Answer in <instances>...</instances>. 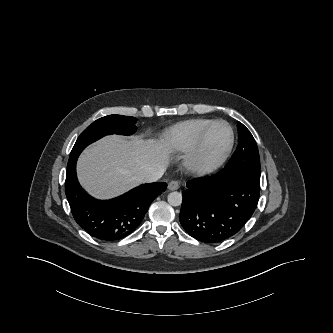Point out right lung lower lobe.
I'll return each instance as SVG.
<instances>
[{
  "label": "right lung lower lobe",
  "mask_w": 333,
  "mask_h": 333,
  "mask_svg": "<svg viewBox=\"0 0 333 333\" xmlns=\"http://www.w3.org/2000/svg\"><path fill=\"white\" fill-rule=\"evenodd\" d=\"M165 182L147 183L124 195L101 201L88 195L76 175V161L67 165L65 193L75 221L91 236L117 241L136 230L153 198L166 190Z\"/></svg>",
  "instance_id": "98d812e1"
}]
</instances>
